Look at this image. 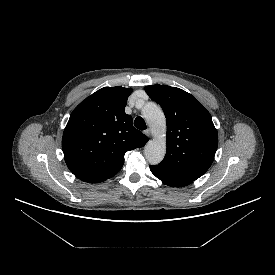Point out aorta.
Wrapping results in <instances>:
<instances>
[{
	"label": "aorta",
	"instance_id": "obj_1",
	"mask_svg": "<svg viewBox=\"0 0 275 275\" xmlns=\"http://www.w3.org/2000/svg\"><path fill=\"white\" fill-rule=\"evenodd\" d=\"M142 114L154 135V139L146 144L144 154L151 165H157L166 153V119L162 109L152 102L143 107Z\"/></svg>",
	"mask_w": 275,
	"mask_h": 275
}]
</instances>
